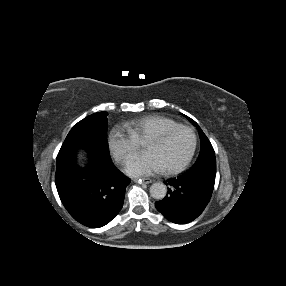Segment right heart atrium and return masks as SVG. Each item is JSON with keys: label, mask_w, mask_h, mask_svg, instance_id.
Returning <instances> with one entry per match:
<instances>
[{"label": "right heart atrium", "mask_w": 286, "mask_h": 286, "mask_svg": "<svg viewBox=\"0 0 286 286\" xmlns=\"http://www.w3.org/2000/svg\"><path fill=\"white\" fill-rule=\"evenodd\" d=\"M107 143L119 162H125L139 148L138 141L122 126H116L109 131Z\"/></svg>", "instance_id": "1"}]
</instances>
